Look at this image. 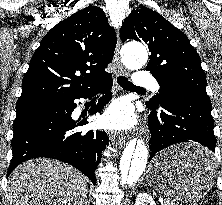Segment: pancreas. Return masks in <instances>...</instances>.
Returning <instances> with one entry per match:
<instances>
[{
    "label": "pancreas",
    "mask_w": 222,
    "mask_h": 205,
    "mask_svg": "<svg viewBox=\"0 0 222 205\" xmlns=\"http://www.w3.org/2000/svg\"><path fill=\"white\" fill-rule=\"evenodd\" d=\"M163 205H177V203L173 202V201H170V200H167L164 202Z\"/></svg>",
    "instance_id": "1"
}]
</instances>
